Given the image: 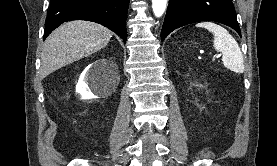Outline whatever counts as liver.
I'll list each match as a JSON object with an SVG mask.
<instances>
[{
	"instance_id": "obj_1",
	"label": "liver",
	"mask_w": 277,
	"mask_h": 166,
	"mask_svg": "<svg viewBox=\"0 0 277 166\" xmlns=\"http://www.w3.org/2000/svg\"><path fill=\"white\" fill-rule=\"evenodd\" d=\"M111 37L112 32L109 29L94 22L64 23L53 31L44 43L41 55V78L100 51L109 43Z\"/></svg>"
}]
</instances>
